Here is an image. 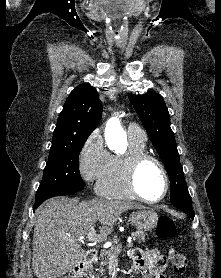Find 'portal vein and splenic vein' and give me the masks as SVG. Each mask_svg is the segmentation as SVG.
<instances>
[{
  "label": "portal vein and splenic vein",
  "mask_w": 221,
  "mask_h": 278,
  "mask_svg": "<svg viewBox=\"0 0 221 278\" xmlns=\"http://www.w3.org/2000/svg\"><path fill=\"white\" fill-rule=\"evenodd\" d=\"M87 241L89 242H93V243H99L103 241V237H101L100 235L96 234V231L94 229V227H91L87 233V237H86ZM80 242H83L85 240L84 237H80L78 239ZM128 246H130V243L128 244Z\"/></svg>",
  "instance_id": "1"
}]
</instances>
